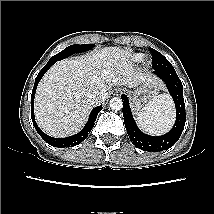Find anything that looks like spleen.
I'll use <instances>...</instances> for the list:
<instances>
[{
	"mask_svg": "<svg viewBox=\"0 0 214 214\" xmlns=\"http://www.w3.org/2000/svg\"><path fill=\"white\" fill-rule=\"evenodd\" d=\"M174 121V106L167 94L155 96L138 113L139 127L150 134L168 131Z\"/></svg>",
	"mask_w": 214,
	"mask_h": 214,
	"instance_id": "obj_1",
	"label": "spleen"
}]
</instances>
